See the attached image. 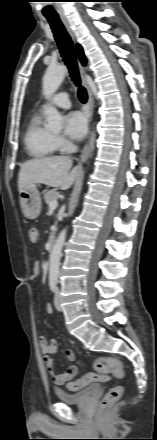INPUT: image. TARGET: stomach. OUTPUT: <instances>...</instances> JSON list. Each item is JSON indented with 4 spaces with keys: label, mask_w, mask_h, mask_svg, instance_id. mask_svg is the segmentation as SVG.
I'll use <instances>...</instances> for the list:
<instances>
[{
    "label": "stomach",
    "mask_w": 157,
    "mask_h": 440,
    "mask_svg": "<svg viewBox=\"0 0 157 440\" xmlns=\"http://www.w3.org/2000/svg\"><path fill=\"white\" fill-rule=\"evenodd\" d=\"M20 206L23 214L28 219H35L41 212V198L36 185L24 188L20 194Z\"/></svg>",
    "instance_id": "0dacf381"
}]
</instances>
